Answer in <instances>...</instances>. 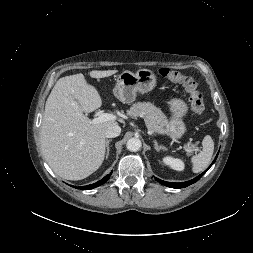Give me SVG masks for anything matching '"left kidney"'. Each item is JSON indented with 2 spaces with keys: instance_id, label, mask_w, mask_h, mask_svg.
<instances>
[{
  "instance_id": "5707ae66",
  "label": "left kidney",
  "mask_w": 253,
  "mask_h": 253,
  "mask_svg": "<svg viewBox=\"0 0 253 253\" xmlns=\"http://www.w3.org/2000/svg\"><path fill=\"white\" fill-rule=\"evenodd\" d=\"M163 163L174 170L182 171L184 169V163L182 160L173 158L171 156H165L163 159Z\"/></svg>"
}]
</instances>
